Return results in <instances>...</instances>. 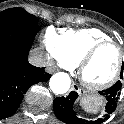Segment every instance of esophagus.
<instances>
[{
  "label": "esophagus",
  "mask_w": 124,
  "mask_h": 124,
  "mask_svg": "<svg viewBox=\"0 0 124 124\" xmlns=\"http://www.w3.org/2000/svg\"><path fill=\"white\" fill-rule=\"evenodd\" d=\"M48 69H49L51 72L56 71V68H55V67H53V66L48 67ZM71 90H72V91H76L78 94H80V93H81L80 88H79L76 84H73V85H72Z\"/></svg>",
  "instance_id": "1"
}]
</instances>
